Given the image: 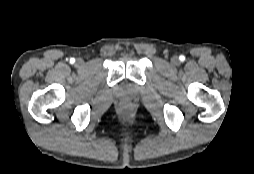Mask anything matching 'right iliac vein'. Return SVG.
Wrapping results in <instances>:
<instances>
[{
	"label": "right iliac vein",
	"mask_w": 254,
	"mask_h": 174,
	"mask_svg": "<svg viewBox=\"0 0 254 174\" xmlns=\"http://www.w3.org/2000/svg\"><path fill=\"white\" fill-rule=\"evenodd\" d=\"M76 63L78 65H83L84 61L82 59H77Z\"/></svg>",
	"instance_id": "1"
}]
</instances>
